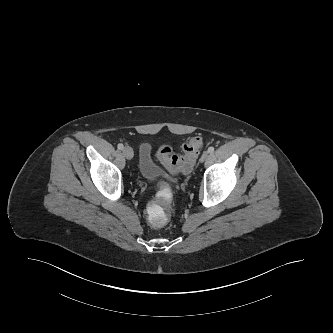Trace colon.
<instances>
[{"instance_id":"obj_1","label":"colon","mask_w":333,"mask_h":333,"mask_svg":"<svg viewBox=\"0 0 333 333\" xmlns=\"http://www.w3.org/2000/svg\"><path fill=\"white\" fill-rule=\"evenodd\" d=\"M201 147V138L194 136L182 145L181 154H175L172 147L164 145L157 150L156 158L172 174L189 173L193 169ZM153 184L159 190L153 194V204L147 208L146 216L153 227L161 228L168 223L169 215L166 209L173 205L175 192L164 174L156 175Z\"/></svg>"}]
</instances>
